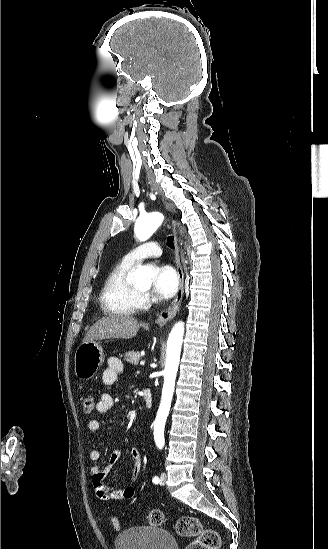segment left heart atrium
I'll return each instance as SVG.
<instances>
[{"label": "left heart atrium", "instance_id": "39dd6f15", "mask_svg": "<svg viewBox=\"0 0 328 549\" xmlns=\"http://www.w3.org/2000/svg\"><path fill=\"white\" fill-rule=\"evenodd\" d=\"M179 284L176 270L170 264H164L154 270L151 292L156 299L166 300L175 295Z\"/></svg>", "mask_w": 328, "mask_h": 549}]
</instances>
